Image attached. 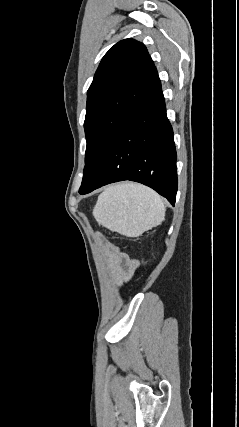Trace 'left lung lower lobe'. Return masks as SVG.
<instances>
[{"label":"left lung lower lobe","mask_w":239,"mask_h":427,"mask_svg":"<svg viewBox=\"0 0 239 427\" xmlns=\"http://www.w3.org/2000/svg\"><path fill=\"white\" fill-rule=\"evenodd\" d=\"M176 150L161 88L115 134L95 173L79 193L131 180L153 188L174 206Z\"/></svg>","instance_id":"0a47b994"}]
</instances>
